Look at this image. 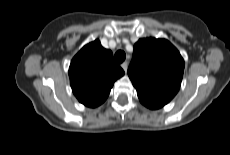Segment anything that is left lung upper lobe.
I'll list each match as a JSON object with an SVG mask.
<instances>
[{"label": "left lung upper lobe", "mask_w": 230, "mask_h": 155, "mask_svg": "<svg viewBox=\"0 0 230 155\" xmlns=\"http://www.w3.org/2000/svg\"><path fill=\"white\" fill-rule=\"evenodd\" d=\"M184 66L179 51L168 40L140 39L128 68L140 102L158 108L169 103L179 91Z\"/></svg>", "instance_id": "left-lung-upper-lobe-1"}]
</instances>
